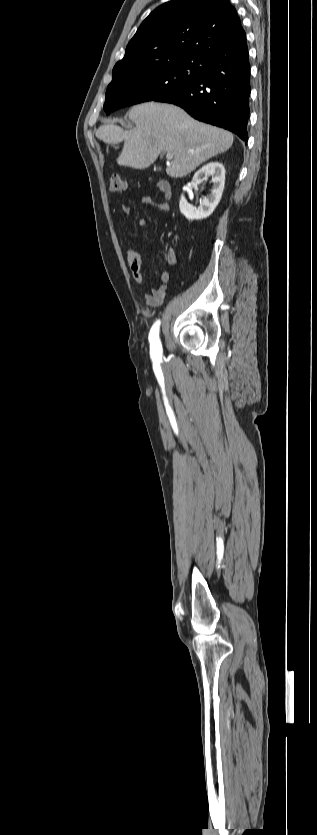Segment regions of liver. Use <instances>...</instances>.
Masks as SVG:
<instances>
[{
  "label": "liver",
  "instance_id": "1",
  "mask_svg": "<svg viewBox=\"0 0 317 835\" xmlns=\"http://www.w3.org/2000/svg\"><path fill=\"white\" fill-rule=\"evenodd\" d=\"M128 117L135 128L124 131L113 123L104 124L96 137L111 145L124 141L116 160L120 166L144 169L161 152L171 154L173 161L166 173L173 178L184 177L204 161L227 151L234 140L230 132L199 122L171 104L142 103L131 108Z\"/></svg>",
  "mask_w": 317,
  "mask_h": 835
}]
</instances>
